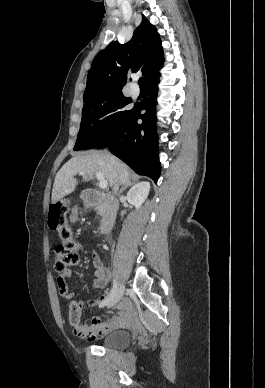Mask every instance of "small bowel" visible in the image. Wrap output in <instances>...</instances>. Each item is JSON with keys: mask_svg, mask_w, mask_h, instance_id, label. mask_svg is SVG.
<instances>
[{"mask_svg": "<svg viewBox=\"0 0 265 388\" xmlns=\"http://www.w3.org/2000/svg\"><path fill=\"white\" fill-rule=\"evenodd\" d=\"M93 264V283L91 289H104L108 284V278L106 269L101 260L99 253L94 250L92 253ZM72 271L66 269L59 274L58 287L61 296L67 302L68 321L73 330V333L81 339L93 341L103 335L104 333L118 328L128 326L131 323V314L128 309V304L122 301L116 305V311L111 318L103 321L99 318H92L87 323L81 322V314L85 305L82 301L75 300V293L70 292L67 285V280L71 277ZM110 292L107 290L97 300H90L87 305L90 307L99 306L104 304L110 298ZM60 325L63 324V320H60Z\"/></svg>", "mask_w": 265, "mask_h": 388, "instance_id": "obj_1", "label": "small bowel"}]
</instances>
